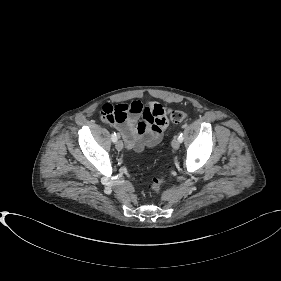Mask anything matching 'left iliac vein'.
I'll return each mask as SVG.
<instances>
[{
	"label": "left iliac vein",
	"instance_id": "4c4485c4",
	"mask_svg": "<svg viewBox=\"0 0 281 281\" xmlns=\"http://www.w3.org/2000/svg\"><path fill=\"white\" fill-rule=\"evenodd\" d=\"M172 147L174 150H178L179 147H180V141L178 138H175L173 141H172Z\"/></svg>",
	"mask_w": 281,
	"mask_h": 281
}]
</instances>
